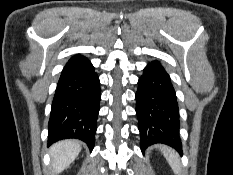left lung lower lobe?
<instances>
[{
    "label": "left lung lower lobe",
    "instance_id": "0a47b994",
    "mask_svg": "<svg viewBox=\"0 0 233 175\" xmlns=\"http://www.w3.org/2000/svg\"><path fill=\"white\" fill-rule=\"evenodd\" d=\"M135 96L141 149L163 143L182 153L177 97L160 62L152 61L144 68Z\"/></svg>",
    "mask_w": 233,
    "mask_h": 175
}]
</instances>
